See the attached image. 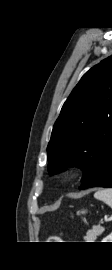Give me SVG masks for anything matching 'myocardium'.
<instances>
[{"label": "myocardium", "instance_id": "f54148a6", "mask_svg": "<svg viewBox=\"0 0 112 270\" xmlns=\"http://www.w3.org/2000/svg\"><path fill=\"white\" fill-rule=\"evenodd\" d=\"M70 176H72V172H70V171L67 172V173L64 175L65 178H68V177H70Z\"/></svg>", "mask_w": 112, "mask_h": 270}]
</instances>
